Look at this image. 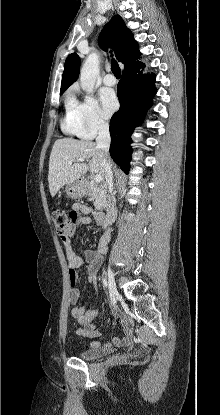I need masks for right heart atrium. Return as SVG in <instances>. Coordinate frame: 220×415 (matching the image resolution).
Returning a JSON list of instances; mask_svg holds the SVG:
<instances>
[{"label":"right heart atrium","mask_w":220,"mask_h":415,"mask_svg":"<svg viewBox=\"0 0 220 415\" xmlns=\"http://www.w3.org/2000/svg\"><path fill=\"white\" fill-rule=\"evenodd\" d=\"M75 108L81 138L92 139L107 130L108 123L101 116L97 100L92 95H84L81 101H77Z\"/></svg>","instance_id":"right-heart-atrium-1"}]
</instances>
